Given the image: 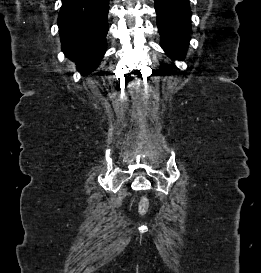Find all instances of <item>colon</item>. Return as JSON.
I'll use <instances>...</instances> for the list:
<instances>
[{"label": "colon", "instance_id": "colon-1", "mask_svg": "<svg viewBox=\"0 0 261 273\" xmlns=\"http://www.w3.org/2000/svg\"><path fill=\"white\" fill-rule=\"evenodd\" d=\"M148 209H149V201L147 198L143 197L140 200L138 211L141 215H145L148 212Z\"/></svg>", "mask_w": 261, "mask_h": 273}]
</instances>
